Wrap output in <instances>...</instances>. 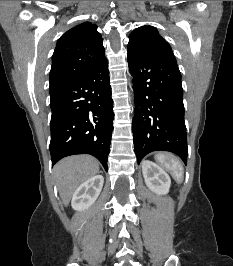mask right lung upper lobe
I'll return each instance as SVG.
<instances>
[{
  "label": "right lung upper lobe",
  "mask_w": 233,
  "mask_h": 266,
  "mask_svg": "<svg viewBox=\"0 0 233 266\" xmlns=\"http://www.w3.org/2000/svg\"><path fill=\"white\" fill-rule=\"evenodd\" d=\"M103 39L97 26L81 23L57 42L52 56L50 92L74 81L105 60Z\"/></svg>",
  "instance_id": "right-lung-upper-lobe-1"
}]
</instances>
